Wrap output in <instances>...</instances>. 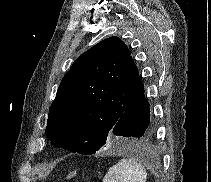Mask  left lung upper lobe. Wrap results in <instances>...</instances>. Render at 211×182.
Here are the masks:
<instances>
[{
  "mask_svg": "<svg viewBox=\"0 0 211 182\" xmlns=\"http://www.w3.org/2000/svg\"><path fill=\"white\" fill-rule=\"evenodd\" d=\"M143 89L125 43L118 37L104 39L78 57L62 78L45 133L55 147L94 154Z\"/></svg>",
  "mask_w": 211,
  "mask_h": 182,
  "instance_id": "5c2ea615",
  "label": "left lung upper lobe"
}]
</instances>
